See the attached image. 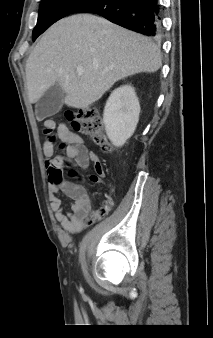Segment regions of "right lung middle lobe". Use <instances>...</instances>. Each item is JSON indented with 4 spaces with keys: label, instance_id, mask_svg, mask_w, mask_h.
Returning <instances> with one entry per match:
<instances>
[{
    "label": "right lung middle lobe",
    "instance_id": "1",
    "mask_svg": "<svg viewBox=\"0 0 213 338\" xmlns=\"http://www.w3.org/2000/svg\"><path fill=\"white\" fill-rule=\"evenodd\" d=\"M92 0H42L37 24L33 30V41L59 19L72 14Z\"/></svg>",
    "mask_w": 213,
    "mask_h": 338
}]
</instances>
